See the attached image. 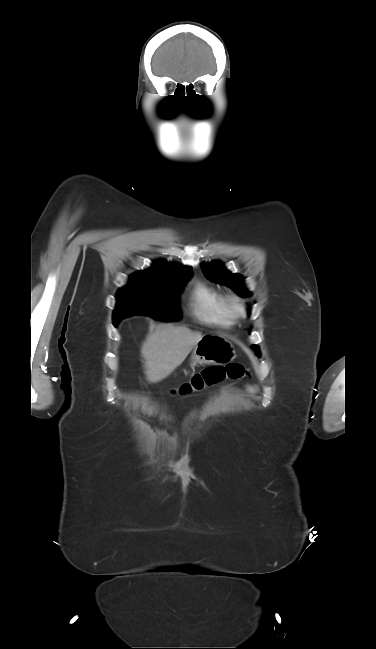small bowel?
Masks as SVG:
<instances>
[{
    "label": "small bowel",
    "instance_id": "c3829d8e",
    "mask_svg": "<svg viewBox=\"0 0 376 649\" xmlns=\"http://www.w3.org/2000/svg\"><path fill=\"white\" fill-rule=\"evenodd\" d=\"M248 390L254 393L256 391V388L254 386H248ZM196 416H197V410H192L187 414L183 422L184 429H187L190 426V424L193 422Z\"/></svg>",
    "mask_w": 376,
    "mask_h": 649
}]
</instances>
